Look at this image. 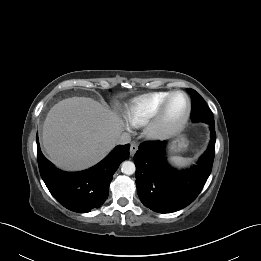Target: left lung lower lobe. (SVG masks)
<instances>
[{
  "instance_id": "obj_1",
  "label": "left lung lower lobe",
  "mask_w": 261,
  "mask_h": 261,
  "mask_svg": "<svg viewBox=\"0 0 261 261\" xmlns=\"http://www.w3.org/2000/svg\"><path fill=\"white\" fill-rule=\"evenodd\" d=\"M211 126L208 149L190 170L178 171L165 157L166 141L145 142L134 155L136 186L141 202L159 213L178 211L192 203L203 189L215 155V122Z\"/></svg>"
}]
</instances>
